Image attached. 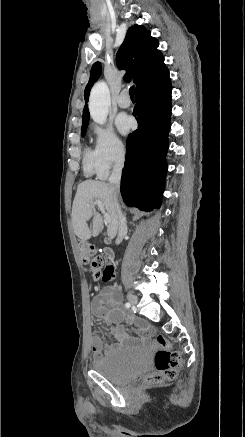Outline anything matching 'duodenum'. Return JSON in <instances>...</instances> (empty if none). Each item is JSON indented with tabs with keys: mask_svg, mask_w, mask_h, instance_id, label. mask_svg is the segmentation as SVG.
Wrapping results in <instances>:
<instances>
[{
	"mask_svg": "<svg viewBox=\"0 0 245 437\" xmlns=\"http://www.w3.org/2000/svg\"><path fill=\"white\" fill-rule=\"evenodd\" d=\"M104 254L107 258L111 259L113 257V252L110 248H105L104 249Z\"/></svg>",
	"mask_w": 245,
	"mask_h": 437,
	"instance_id": "duodenum-1",
	"label": "duodenum"
}]
</instances>
